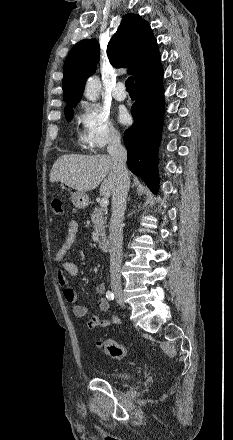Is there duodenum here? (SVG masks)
I'll return each instance as SVG.
<instances>
[{
	"label": "duodenum",
	"instance_id": "duodenum-1",
	"mask_svg": "<svg viewBox=\"0 0 233 440\" xmlns=\"http://www.w3.org/2000/svg\"><path fill=\"white\" fill-rule=\"evenodd\" d=\"M110 244H111V242L108 238H100L99 239V246L102 250H109Z\"/></svg>",
	"mask_w": 233,
	"mask_h": 440
}]
</instances>
